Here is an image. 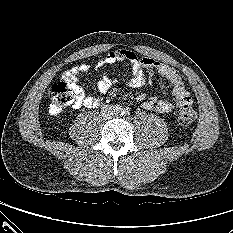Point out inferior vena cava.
<instances>
[{"instance_id":"obj_1","label":"inferior vena cava","mask_w":233,"mask_h":233,"mask_svg":"<svg viewBox=\"0 0 233 233\" xmlns=\"http://www.w3.org/2000/svg\"><path fill=\"white\" fill-rule=\"evenodd\" d=\"M111 117H112V115H111V114L107 115V118H111Z\"/></svg>"}]
</instances>
